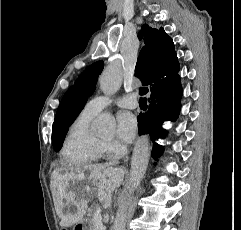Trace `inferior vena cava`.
Segmentation results:
<instances>
[{
    "label": "inferior vena cava",
    "instance_id": "602c4592",
    "mask_svg": "<svg viewBox=\"0 0 241 230\" xmlns=\"http://www.w3.org/2000/svg\"><path fill=\"white\" fill-rule=\"evenodd\" d=\"M127 151V147L124 145H121L116 154L114 155L113 159H111L109 162L105 163V165L110 166V165H114L116 163V161L122 156L124 155V153Z\"/></svg>",
    "mask_w": 241,
    "mask_h": 230
}]
</instances>
